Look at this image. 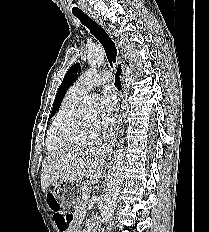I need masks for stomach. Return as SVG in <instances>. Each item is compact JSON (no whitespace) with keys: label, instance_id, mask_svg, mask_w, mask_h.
<instances>
[{"label":"stomach","instance_id":"0dacf381","mask_svg":"<svg viewBox=\"0 0 209 232\" xmlns=\"http://www.w3.org/2000/svg\"><path fill=\"white\" fill-rule=\"evenodd\" d=\"M83 186L80 182H57L55 186L54 196L57 203L70 205L77 203V199H81Z\"/></svg>","mask_w":209,"mask_h":232}]
</instances>
